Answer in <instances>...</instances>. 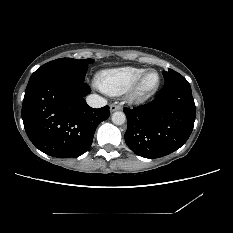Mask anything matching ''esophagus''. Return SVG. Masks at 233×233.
I'll use <instances>...</instances> for the list:
<instances>
[{"label": "esophagus", "mask_w": 233, "mask_h": 233, "mask_svg": "<svg viewBox=\"0 0 233 233\" xmlns=\"http://www.w3.org/2000/svg\"><path fill=\"white\" fill-rule=\"evenodd\" d=\"M120 109H121V107L116 103L110 105V111L111 112H114V111H117V110H120Z\"/></svg>", "instance_id": "1"}]
</instances>
